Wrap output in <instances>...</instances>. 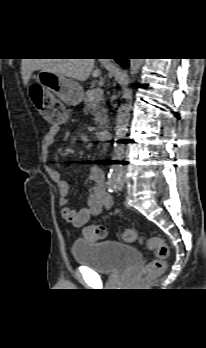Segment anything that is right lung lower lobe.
I'll return each instance as SVG.
<instances>
[{
    "label": "right lung lower lobe",
    "instance_id": "obj_1",
    "mask_svg": "<svg viewBox=\"0 0 206 348\" xmlns=\"http://www.w3.org/2000/svg\"><path fill=\"white\" fill-rule=\"evenodd\" d=\"M116 61L124 68H128L129 66V62L127 58H119V59H116Z\"/></svg>",
    "mask_w": 206,
    "mask_h": 348
}]
</instances>
